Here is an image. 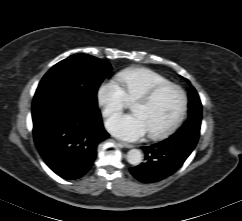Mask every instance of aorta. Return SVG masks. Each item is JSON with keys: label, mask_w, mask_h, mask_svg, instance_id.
I'll return each instance as SVG.
<instances>
[{"label": "aorta", "mask_w": 242, "mask_h": 221, "mask_svg": "<svg viewBox=\"0 0 242 221\" xmlns=\"http://www.w3.org/2000/svg\"><path fill=\"white\" fill-rule=\"evenodd\" d=\"M126 159L131 165L137 166L142 162V153L138 149H131L128 151Z\"/></svg>", "instance_id": "obj_1"}]
</instances>
